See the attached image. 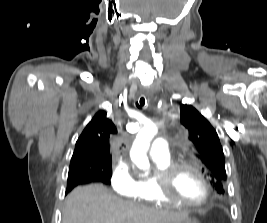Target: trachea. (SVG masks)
I'll return each mask as SVG.
<instances>
[{"mask_svg": "<svg viewBox=\"0 0 267 223\" xmlns=\"http://www.w3.org/2000/svg\"><path fill=\"white\" fill-rule=\"evenodd\" d=\"M145 105V98L144 97H141L140 100H139V103L137 102V106L138 107H142Z\"/></svg>", "mask_w": 267, "mask_h": 223, "instance_id": "obj_1", "label": "trachea"}]
</instances>
